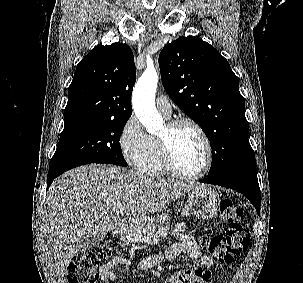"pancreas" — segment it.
Wrapping results in <instances>:
<instances>
[{"instance_id":"pancreas-1","label":"pancreas","mask_w":303,"mask_h":283,"mask_svg":"<svg viewBox=\"0 0 303 283\" xmlns=\"http://www.w3.org/2000/svg\"><path fill=\"white\" fill-rule=\"evenodd\" d=\"M170 226L167 223L156 222L154 224H141L127 232V243H156L165 238L169 233Z\"/></svg>"}]
</instances>
